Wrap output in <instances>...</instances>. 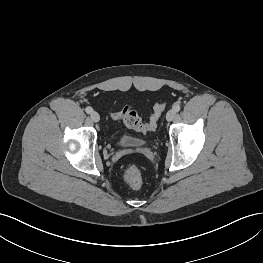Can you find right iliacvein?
Masks as SVG:
<instances>
[{
    "label": "right iliac vein",
    "instance_id": "right-iliac-vein-1",
    "mask_svg": "<svg viewBox=\"0 0 263 263\" xmlns=\"http://www.w3.org/2000/svg\"><path fill=\"white\" fill-rule=\"evenodd\" d=\"M90 117L91 119L94 121V122H99L100 121V115L93 111L91 114H90Z\"/></svg>",
    "mask_w": 263,
    "mask_h": 263
}]
</instances>
